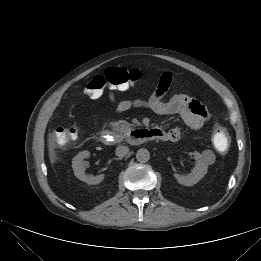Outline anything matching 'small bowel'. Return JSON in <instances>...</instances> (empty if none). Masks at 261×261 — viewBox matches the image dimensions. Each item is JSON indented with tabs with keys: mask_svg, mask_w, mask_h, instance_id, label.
Returning a JSON list of instances; mask_svg holds the SVG:
<instances>
[{
	"mask_svg": "<svg viewBox=\"0 0 261 261\" xmlns=\"http://www.w3.org/2000/svg\"><path fill=\"white\" fill-rule=\"evenodd\" d=\"M172 73L165 71L162 73L158 85L153 94L147 99H125L117 101L116 92L126 91L133 85H124L119 87H108V99L116 113H123L132 108H148L154 113L167 116L179 115L184 123L192 129H199L209 120L210 115L207 109L197 100L184 93L174 94L169 101H164V96L167 93L172 83ZM160 137L159 140L175 142L179 140L181 131L179 128L164 130L156 128Z\"/></svg>",
	"mask_w": 261,
	"mask_h": 261,
	"instance_id": "obj_1",
	"label": "small bowel"
}]
</instances>
